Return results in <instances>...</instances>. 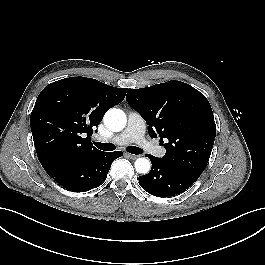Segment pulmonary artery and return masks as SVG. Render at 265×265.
<instances>
[{
    "label": "pulmonary artery",
    "mask_w": 265,
    "mask_h": 265,
    "mask_svg": "<svg viewBox=\"0 0 265 265\" xmlns=\"http://www.w3.org/2000/svg\"><path fill=\"white\" fill-rule=\"evenodd\" d=\"M145 129V123L141 116L134 111H130L128 113V123L126 129L120 135L115 136L112 139V142L118 145H127L131 142H137L143 147L148 148L155 156L163 157L165 150L162 147L145 140ZM98 140L103 141L101 138H98Z\"/></svg>",
    "instance_id": "obj_1"
}]
</instances>
